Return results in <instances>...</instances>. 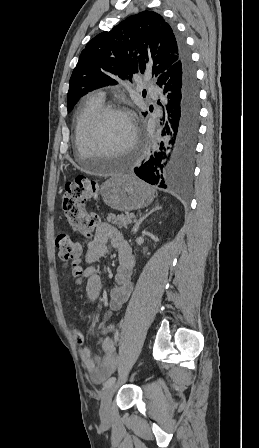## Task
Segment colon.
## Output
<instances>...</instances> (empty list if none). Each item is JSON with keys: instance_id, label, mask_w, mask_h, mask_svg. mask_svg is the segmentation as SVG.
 <instances>
[{"instance_id": "1", "label": "colon", "mask_w": 259, "mask_h": 448, "mask_svg": "<svg viewBox=\"0 0 259 448\" xmlns=\"http://www.w3.org/2000/svg\"><path fill=\"white\" fill-rule=\"evenodd\" d=\"M98 185L86 176H78L65 186L61 196V210L68 225L82 235L88 236L99 223V218L94 213L85 209L88 200L96 198ZM58 257L65 267L70 268L72 275L79 278L81 269V247L70 237L60 235L57 237Z\"/></svg>"}]
</instances>
